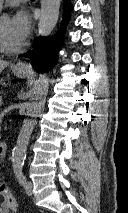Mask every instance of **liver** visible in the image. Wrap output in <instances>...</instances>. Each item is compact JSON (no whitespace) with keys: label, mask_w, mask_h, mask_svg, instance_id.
<instances>
[{"label":"liver","mask_w":128,"mask_h":213,"mask_svg":"<svg viewBox=\"0 0 128 213\" xmlns=\"http://www.w3.org/2000/svg\"><path fill=\"white\" fill-rule=\"evenodd\" d=\"M8 66L7 61L0 60V72H2Z\"/></svg>","instance_id":"1"}]
</instances>
